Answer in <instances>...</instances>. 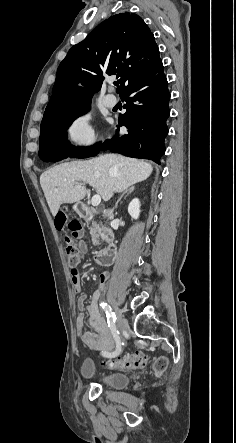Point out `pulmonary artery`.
<instances>
[{
	"mask_svg": "<svg viewBox=\"0 0 236 443\" xmlns=\"http://www.w3.org/2000/svg\"><path fill=\"white\" fill-rule=\"evenodd\" d=\"M103 104L108 108H113L117 104V99L113 94L109 93L104 96Z\"/></svg>",
	"mask_w": 236,
	"mask_h": 443,
	"instance_id": "pulmonary-artery-1",
	"label": "pulmonary artery"
}]
</instances>
